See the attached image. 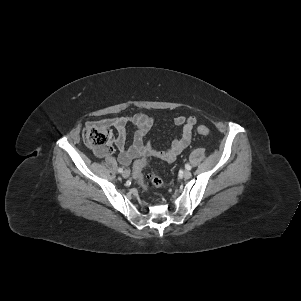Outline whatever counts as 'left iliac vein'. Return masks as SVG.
<instances>
[{
  "mask_svg": "<svg viewBox=\"0 0 301 301\" xmlns=\"http://www.w3.org/2000/svg\"><path fill=\"white\" fill-rule=\"evenodd\" d=\"M183 177H184L185 179L191 178V172L188 171V170H185L184 173H183Z\"/></svg>",
  "mask_w": 301,
  "mask_h": 301,
  "instance_id": "left-iliac-vein-1",
  "label": "left iliac vein"
}]
</instances>
